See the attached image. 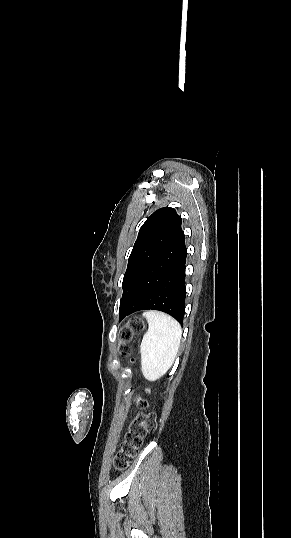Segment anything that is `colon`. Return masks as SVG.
I'll list each match as a JSON object with an SVG mask.
<instances>
[{
	"label": "colon",
	"instance_id": "colon-1",
	"mask_svg": "<svg viewBox=\"0 0 291 538\" xmlns=\"http://www.w3.org/2000/svg\"><path fill=\"white\" fill-rule=\"evenodd\" d=\"M143 323L140 319H133L130 324L121 330V338L124 344L119 349L121 356H128L130 349L127 346L128 342L133 337V328L141 329ZM136 406L141 410L136 413L131 421L124 439L120 444V448L114 459V467L117 470H124L128 467L131 460L136 456L139 448L143 443L144 437L155 428L156 418L153 413L146 412L148 406L147 401L143 397L136 398Z\"/></svg>",
	"mask_w": 291,
	"mask_h": 538
}]
</instances>
